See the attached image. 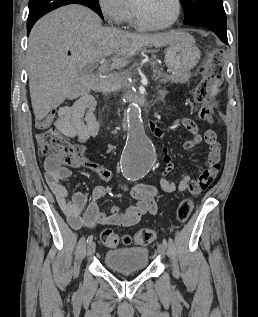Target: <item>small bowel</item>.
<instances>
[{
  "instance_id": "1",
  "label": "small bowel",
  "mask_w": 258,
  "mask_h": 317,
  "mask_svg": "<svg viewBox=\"0 0 258 317\" xmlns=\"http://www.w3.org/2000/svg\"><path fill=\"white\" fill-rule=\"evenodd\" d=\"M178 122L192 135V138L184 143V149L192 150L203 140L209 147L206 168L198 171L196 179H192L189 174L183 172L178 181H171L167 176L174 168V163L167 150L164 149L165 168L160 178V186L165 192L169 193L190 191L193 194H197L213 182L219 171L221 159L220 144L214 131L207 130L202 136L198 126L191 119L183 117ZM51 125L64 136L76 138L81 143L97 136L100 123L96 115L95 98L92 95H83L72 106L62 107L56 113L49 114L38 123V127L41 129ZM149 127L155 135L162 137V131L154 123H150ZM44 165L48 186L58 206L74 229L95 228L98 225L129 227L137 224L147 213L151 215L157 213L159 193L158 189L152 185L138 184L131 188L123 184L120 185L122 190H129L133 202L124 209L114 206L111 208L110 213L107 214L98 204V200L107 193L108 189L106 186H96L89 201L87 195L79 191L68 198V190L61 183L71 175L67 164L56 156H48ZM81 165L108 183L116 180L110 170L86 157H84Z\"/></svg>"
}]
</instances>
